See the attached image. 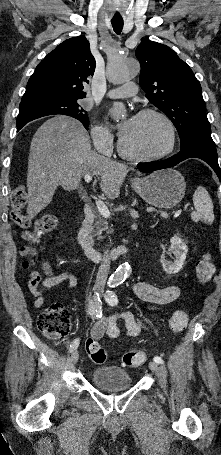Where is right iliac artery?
<instances>
[{
  "label": "right iliac artery",
  "instance_id": "82829eb1",
  "mask_svg": "<svg viewBox=\"0 0 221 455\" xmlns=\"http://www.w3.org/2000/svg\"><path fill=\"white\" fill-rule=\"evenodd\" d=\"M89 314L93 318H101L102 317V302L100 300L99 294L96 293L92 299L89 300ZM79 346V339H75L72 344L70 345V352L76 350Z\"/></svg>",
  "mask_w": 221,
  "mask_h": 455
}]
</instances>
